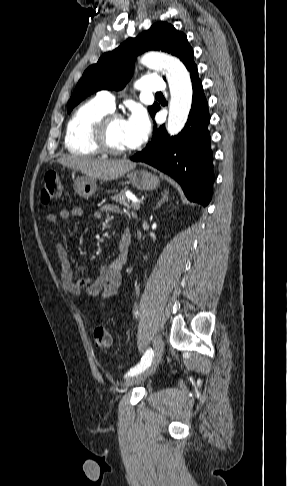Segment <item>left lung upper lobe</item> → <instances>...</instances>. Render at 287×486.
<instances>
[{"instance_id":"1","label":"left lung upper lobe","mask_w":287,"mask_h":486,"mask_svg":"<svg viewBox=\"0 0 287 486\" xmlns=\"http://www.w3.org/2000/svg\"><path fill=\"white\" fill-rule=\"evenodd\" d=\"M149 50L171 53L184 64L193 57V49L184 33L167 22H157L149 30L127 39L113 51L104 53L96 64L85 70L68 101V113L94 92L123 89L132 76L135 58ZM159 109L157 103L148 107L152 117Z\"/></svg>"}]
</instances>
